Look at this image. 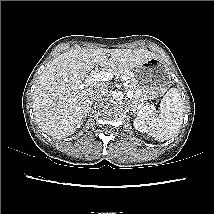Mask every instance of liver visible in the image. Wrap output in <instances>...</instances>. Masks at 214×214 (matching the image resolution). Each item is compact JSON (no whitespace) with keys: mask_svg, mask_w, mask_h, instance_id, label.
<instances>
[{"mask_svg":"<svg viewBox=\"0 0 214 214\" xmlns=\"http://www.w3.org/2000/svg\"><path fill=\"white\" fill-rule=\"evenodd\" d=\"M153 57L146 49L82 48L62 53L48 63L35 87L32 107L39 128L54 139L72 135L90 112L91 88L102 84L84 86L81 80L87 73L96 65L132 70Z\"/></svg>","mask_w":214,"mask_h":214,"instance_id":"liver-1","label":"liver"}]
</instances>
